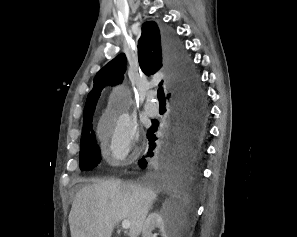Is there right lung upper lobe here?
<instances>
[{
	"label": "right lung upper lobe",
	"mask_w": 297,
	"mask_h": 237,
	"mask_svg": "<svg viewBox=\"0 0 297 237\" xmlns=\"http://www.w3.org/2000/svg\"><path fill=\"white\" fill-rule=\"evenodd\" d=\"M138 60L140 68L146 75L154 74L160 68L167 70L169 73L168 80L172 83V75L165 57L162 28H159L153 21L145 22L142 25L141 36L138 40ZM125 66L126 57L122 53L105 65L95 76L94 86L87 97L84 109V128L92 125L96 102L103 87L122 82Z\"/></svg>",
	"instance_id": "1"
}]
</instances>
